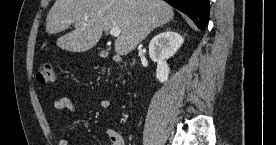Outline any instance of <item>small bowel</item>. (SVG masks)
<instances>
[{
	"mask_svg": "<svg viewBox=\"0 0 276 145\" xmlns=\"http://www.w3.org/2000/svg\"><path fill=\"white\" fill-rule=\"evenodd\" d=\"M99 104L101 107L107 108L109 106V101L106 98H100ZM53 108L55 111L59 112L66 109L75 110L77 105L68 98L60 96L54 101ZM105 133L112 145H124V138L121 130L107 129ZM58 145H69V142L65 138H60L58 140Z\"/></svg>",
	"mask_w": 276,
	"mask_h": 145,
	"instance_id": "1",
	"label": "small bowel"
}]
</instances>
